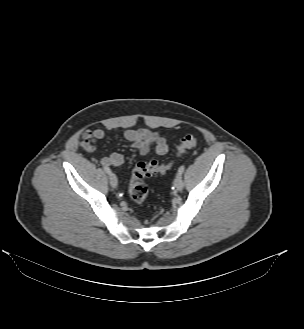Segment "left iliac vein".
<instances>
[{
  "instance_id": "4c4485c4",
  "label": "left iliac vein",
  "mask_w": 304,
  "mask_h": 329,
  "mask_svg": "<svg viewBox=\"0 0 304 329\" xmlns=\"http://www.w3.org/2000/svg\"><path fill=\"white\" fill-rule=\"evenodd\" d=\"M174 187L177 191H181L184 187L182 174L178 173L174 179Z\"/></svg>"
}]
</instances>
